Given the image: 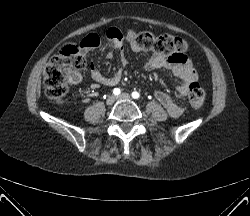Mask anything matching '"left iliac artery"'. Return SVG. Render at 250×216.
I'll return each mask as SVG.
<instances>
[{
	"mask_svg": "<svg viewBox=\"0 0 250 216\" xmlns=\"http://www.w3.org/2000/svg\"><path fill=\"white\" fill-rule=\"evenodd\" d=\"M132 97L134 98V99H138L139 97H140V94L138 93V92H132Z\"/></svg>",
	"mask_w": 250,
	"mask_h": 216,
	"instance_id": "obj_1",
	"label": "left iliac artery"
}]
</instances>
